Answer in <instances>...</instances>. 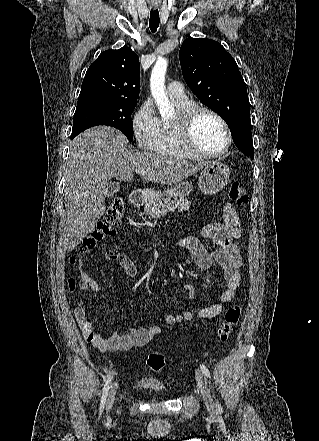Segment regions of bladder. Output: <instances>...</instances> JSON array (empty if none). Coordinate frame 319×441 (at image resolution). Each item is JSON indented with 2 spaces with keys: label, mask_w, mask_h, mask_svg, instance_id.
Wrapping results in <instances>:
<instances>
[{
  "label": "bladder",
  "mask_w": 319,
  "mask_h": 441,
  "mask_svg": "<svg viewBox=\"0 0 319 441\" xmlns=\"http://www.w3.org/2000/svg\"><path fill=\"white\" fill-rule=\"evenodd\" d=\"M141 388L153 391V392H163L165 390L164 385L158 383L153 379H142L139 383Z\"/></svg>",
  "instance_id": "obj_1"
}]
</instances>
